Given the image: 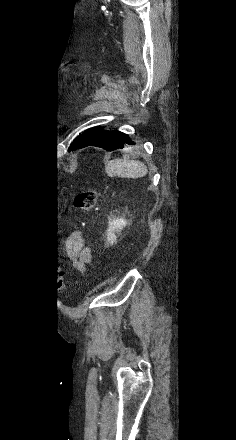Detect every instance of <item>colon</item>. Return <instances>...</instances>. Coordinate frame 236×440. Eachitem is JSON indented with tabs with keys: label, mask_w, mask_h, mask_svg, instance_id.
Segmentation results:
<instances>
[{
	"label": "colon",
	"mask_w": 236,
	"mask_h": 440,
	"mask_svg": "<svg viewBox=\"0 0 236 440\" xmlns=\"http://www.w3.org/2000/svg\"><path fill=\"white\" fill-rule=\"evenodd\" d=\"M98 198V191L95 188H86L79 191L74 197V206L82 212H89L93 209ZM62 280L61 274L55 276H48V285H59Z\"/></svg>",
	"instance_id": "5ec220e1"
}]
</instances>
